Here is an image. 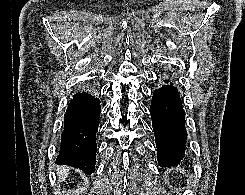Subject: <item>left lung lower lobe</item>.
<instances>
[{
	"mask_svg": "<svg viewBox=\"0 0 245 195\" xmlns=\"http://www.w3.org/2000/svg\"><path fill=\"white\" fill-rule=\"evenodd\" d=\"M153 93L150 114L155 134L157 159L161 166L180 163L185 156L187 132L177 88L170 80Z\"/></svg>",
	"mask_w": 245,
	"mask_h": 195,
	"instance_id": "0a47b994",
	"label": "left lung lower lobe"
}]
</instances>
